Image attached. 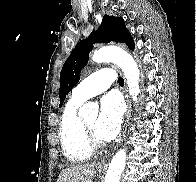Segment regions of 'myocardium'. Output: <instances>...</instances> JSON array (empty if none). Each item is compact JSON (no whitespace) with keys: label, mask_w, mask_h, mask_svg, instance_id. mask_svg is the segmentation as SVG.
<instances>
[{"label":"myocardium","mask_w":196,"mask_h":182,"mask_svg":"<svg viewBox=\"0 0 196 182\" xmlns=\"http://www.w3.org/2000/svg\"><path fill=\"white\" fill-rule=\"evenodd\" d=\"M82 130L84 139L91 150H95L101 147V141L90 131L85 121L82 120Z\"/></svg>","instance_id":"myocardium-1"}]
</instances>
